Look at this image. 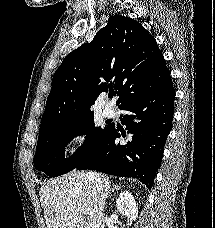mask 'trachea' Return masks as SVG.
Wrapping results in <instances>:
<instances>
[{
    "label": "trachea",
    "instance_id": "trachea-1",
    "mask_svg": "<svg viewBox=\"0 0 215 228\" xmlns=\"http://www.w3.org/2000/svg\"><path fill=\"white\" fill-rule=\"evenodd\" d=\"M114 95H116V93H113V92L109 93L110 98H113Z\"/></svg>",
    "mask_w": 215,
    "mask_h": 228
}]
</instances>
